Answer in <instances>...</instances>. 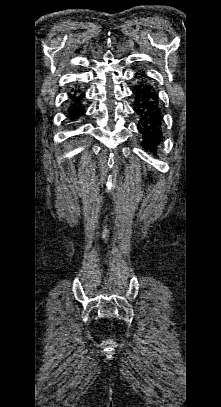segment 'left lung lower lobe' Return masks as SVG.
<instances>
[{"label":"left lung lower lobe","instance_id":"obj_1","mask_svg":"<svg viewBox=\"0 0 221 407\" xmlns=\"http://www.w3.org/2000/svg\"><path fill=\"white\" fill-rule=\"evenodd\" d=\"M133 110L138 115V130L143 136L142 145L153 153L162 138V112L158 92L144 71L135 73Z\"/></svg>","mask_w":221,"mask_h":407}]
</instances>
